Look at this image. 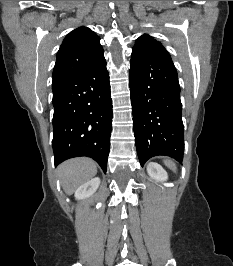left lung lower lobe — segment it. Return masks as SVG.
<instances>
[{"mask_svg": "<svg viewBox=\"0 0 233 266\" xmlns=\"http://www.w3.org/2000/svg\"><path fill=\"white\" fill-rule=\"evenodd\" d=\"M129 74L133 130L141 166L157 155L181 163L184 127L180 85L171 56L165 48L134 46Z\"/></svg>", "mask_w": 233, "mask_h": 266, "instance_id": "left-lung-lower-lobe-1", "label": "left lung lower lobe"}]
</instances>
